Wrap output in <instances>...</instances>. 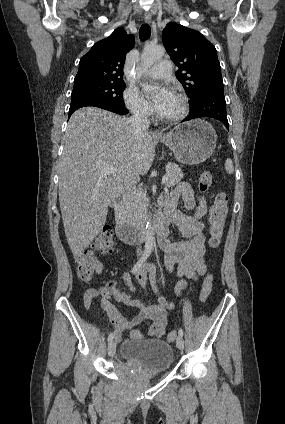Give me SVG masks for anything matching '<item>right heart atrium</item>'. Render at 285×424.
Returning <instances> with one entry per match:
<instances>
[{"label": "right heart atrium", "mask_w": 285, "mask_h": 424, "mask_svg": "<svg viewBox=\"0 0 285 424\" xmlns=\"http://www.w3.org/2000/svg\"><path fill=\"white\" fill-rule=\"evenodd\" d=\"M124 101L127 108L136 116L146 118L150 115L149 103L143 98L135 86H129L124 91Z\"/></svg>", "instance_id": "right-heart-atrium-1"}]
</instances>
